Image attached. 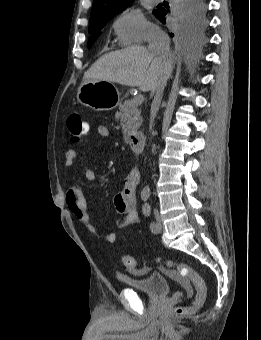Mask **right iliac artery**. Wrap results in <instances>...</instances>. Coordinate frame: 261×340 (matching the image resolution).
Wrapping results in <instances>:
<instances>
[{
    "label": "right iliac artery",
    "mask_w": 261,
    "mask_h": 340,
    "mask_svg": "<svg viewBox=\"0 0 261 340\" xmlns=\"http://www.w3.org/2000/svg\"><path fill=\"white\" fill-rule=\"evenodd\" d=\"M148 197H149V194H147V193L141 194V198H142L143 201H146L148 199Z\"/></svg>",
    "instance_id": "1"
}]
</instances>
